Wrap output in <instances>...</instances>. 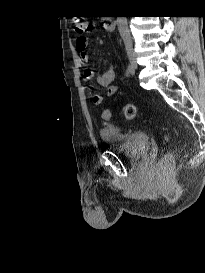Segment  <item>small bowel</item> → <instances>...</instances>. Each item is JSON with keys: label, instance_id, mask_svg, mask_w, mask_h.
<instances>
[{"label": "small bowel", "instance_id": "small-bowel-1", "mask_svg": "<svg viewBox=\"0 0 205 273\" xmlns=\"http://www.w3.org/2000/svg\"><path fill=\"white\" fill-rule=\"evenodd\" d=\"M92 42H93L92 39H89L85 36H78L76 38L75 48L79 54V65L80 66H84L87 63V61H88L87 46ZM94 76H95L94 72L89 69L85 70L82 73V79L86 83H90L94 79ZM114 79H115V69L113 66H109L107 68L106 72L103 75L99 76L97 79L98 83L101 86L106 87L108 96H114L119 90V86L113 84ZM103 101H104V98L102 95L92 91V103L95 106L102 105ZM102 117H103V115H102Z\"/></svg>", "mask_w": 205, "mask_h": 273}]
</instances>
